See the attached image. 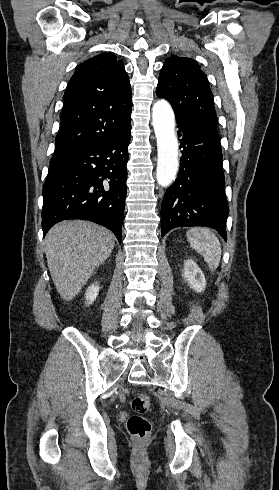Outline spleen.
Segmentation results:
<instances>
[{"label":"spleen","mask_w":279,"mask_h":490,"mask_svg":"<svg viewBox=\"0 0 279 490\" xmlns=\"http://www.w3.org/2000/svg\"><path fill=\"white\" fill-rule=\"evenodd\" d=\"M189 244L193 250L203 256L211 272L218 268L221 258V244L207 228H192L187 234Z\"/></svg>","instance_id":"spleen-1"}]
</instances>
